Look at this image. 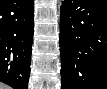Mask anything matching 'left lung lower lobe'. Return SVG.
Wrapping results in <instances>:
<instances>
[{"label":"left lung lower lobe","mask_w":107,"mask_h":89,"mask_svg":"<svg viewBox=\"0 0 107 89\" xmlns=\"http://www.w3.org/2000/svg\"><path fill=\"white\" fill-rule=\"evenodd\" d=\"M61 89H107V0H67L60 13Z\"/></svg>","instance_id":"obj_1"}]
</instances>
